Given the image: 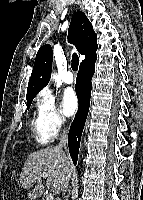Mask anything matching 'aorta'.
Instances as JSON below:
<instances>
[{"label":"aorta","instance_id":"1","mask_svg":"<svg viewBox=\"0 0 143 200\" xmlns=\"http://www.w3.org/2000/svg\"><path fill=\"white\" fill-rule=\"evenodd\" d=\"M52 78H55V75H54V74L52 75Z\"/></svg>","mask_w":143,"mask_h":200}]
</instances>
